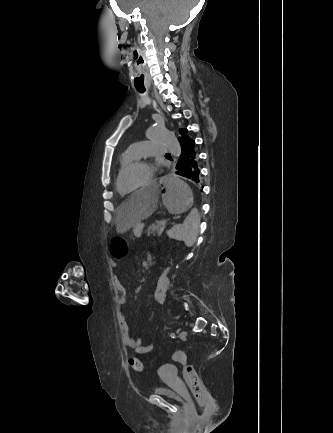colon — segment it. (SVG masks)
I'll return each instance as SVG.
<instances>
[{"mask_svg":"<svg viewBox=\"0 0 333 433\" xmlns=\"http://www.w3.org/2000/svg\"><path fill=\"white\" fill-rule=\"evenodd\" d=\"M111 258H124L125 253L129 252L128 245V237L127 236H112L111 237ZM160 274L158 275V279L156 280V286L154 289V303L160 305L163 302V293L161 292V286L165 285V278L169 275L168 270H170V265H165ZM173 359L175 362H178L182 366L183 377L191 390L196 401L204 405L210 395L208 389L201 378L200 374L194 367V365L190 362L189 356L184 351H176L173 355ZM131 367L137 371L142 372L144 370V365L140 359L136 357H132L129 360Z\"/></svg>","mask_w":333,"mask_h":433,"instance_id":"5ec220e1","label":"colon"}]
</instances>
